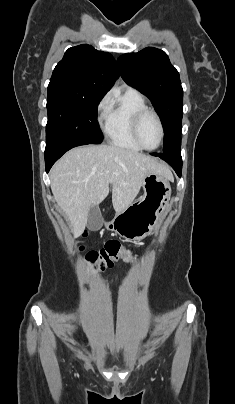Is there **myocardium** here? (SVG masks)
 I'll return each mask as SVG.
<instances>
[{"mask_svg": "<svg viewBox=\"0 0 235 404\" xmlns=\"http://www.w3.org/2000/svg\"><path fill=\"white\" fill-rule=\"evenodd\" d=\"M148 114L153 115V116L156 118V120H157V122H158V125H159V130H160L159 142H158V144H157L155 147H152V148H149V147L144 146V145L142 144V142H141V140H140V136H139L140 124H141L143 118H144L146 115H148ZM131 131H132V136H133L135 142H136V143L141 147V149H143V150H147V151L156 150V149H158V148L161 146V144H162V142H163V140H164V133H165V132H164V126H163V122H162V120H161V117L159 116V114H158L156 111H154V110H152V109H150V108L142 109V110L138 111V112L135 114V116H134V118H133V120H132Z\"/></svg>", "mask_w": 235, "mask_h": 404, "instance_id": "myocardium-1", "label": "myocardium"}]
</instances>
